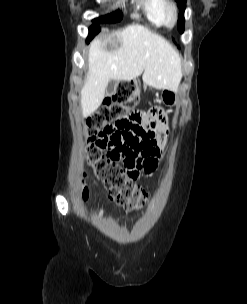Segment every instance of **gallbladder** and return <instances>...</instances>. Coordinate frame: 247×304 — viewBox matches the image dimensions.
<instances>
[{
    "label": "gallbladder",
    "instance_id": "obj_1",
    "mask_svg": "<svg viewBox=\"0 0 247 304\" xmlns=\"http://www.w3.org/2000/svg\"><path fill=\"white\" fill-rule=\"evenodd\" d=\"M116 87H117V82L115 80H110L105 90L106 95L113 94L116 90Z\"/></svg>",
    "mask_w": 247,
    "mask_h": 304
}]
</instances>
